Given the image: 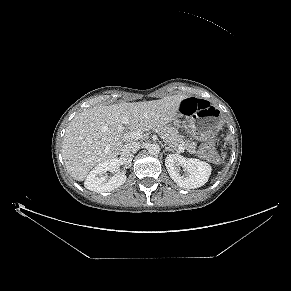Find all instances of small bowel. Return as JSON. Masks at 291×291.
<instances>
[{
	"mask_svg": "<svg viewBox=\"0 0 291 291\" xmlns=\"http://www.w3.org/2000/svg\"><path fill=\"white\" fill-rule=\"evenodd\" d=\"M196 100H198V99L194 98V97H187V98L183 99L182 102H181V105H180V110L182 111V113L187 114L186 113V108L183 106V103H190V102H193V101H196Z\"/></svg>",
	"mask_w": 291,
	"mask_h": 291,
	"instance_id": "small-bowel-1",
	"label": "small bowel"
}]
</instances>
